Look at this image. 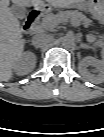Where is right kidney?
Here are the masks:
<instances>
[{
    "label": "right kidney",
    "mask_w": 104,
    "mask_h": 137,
    "mask_svg": "<svg viewBox=\"0 0 104 137\" xmlns=\"http://www.w3.org/2000/svg\"><path fill=\"white\" fill-rule=\"evenodd\" d=\"M36 64V56L33 53L25 52L21 55L15 64L18 74H26L33 70Z\"/></svg>",
    "instance_id": "obj_1"
}]
</instances>
